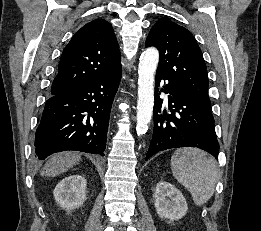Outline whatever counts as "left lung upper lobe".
<instances>
[{"mask_svg": "<svg viewBox=\"0 0 261 231\" xmlns=\"http://www.w3.org/2000/svg\"><path fill=\"white\" fill-rule=\"evenodd\" d=\"M160 52L157 72L165 75L189 99L211 106L208 76L201 50L193 35L164 17L157 21L146 39V47Z\"/></svg>", "mask_w": 261, "mask_h": 231, "instance_id": "left-lung-upper-lobe-1", "label": "left lung upper lobe"}]
</instances>
